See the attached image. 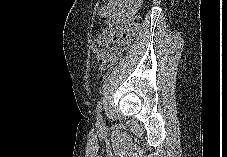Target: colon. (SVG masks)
<instances>
[{"instance_id": "1", "label": "colon", "mask_w": 227, "mask_h": 157, "mask_svg": "<svg viewBox=\"0 0 227 157\" xmlns=\"http://www.w3.org/2000/svg\"><path fill=\"white\" fill-rule=\"evenodd\" d=\"M141 25L140 16H136L124 31L123 35L114 40L113 31L103 28L91 41V50L96 58L102 60L98 77L104 79L122 56L128 51L131 42L136 38ZM114 40L113 45L110 44Z\"/></svg>"}]
</instances>
